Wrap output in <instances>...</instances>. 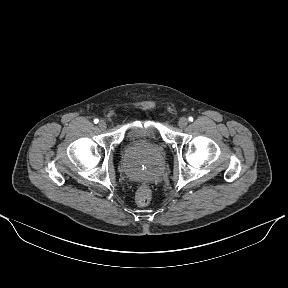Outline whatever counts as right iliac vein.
I'll list each match as a JSON object with an SVG mask.
<instances>
[{
	"instance_id": "right-iliac-vein-1",
	"label": "right iliac vein",
	"mask_w": 288,
	"mask_h": 288,
	"mask_svg": "<svg viewBox=\"0 0 288 288\" xmlns=\"http://www.w3.org/2000/svg\"><path fill=\"white\" fill-rule=\"evenodd\" d=\"M98 126H99V128H100L101 130H105L106 127H107V124H106V122H105L104 120H101V121L99 122Z\"/></svg>"
}]
</instances>
